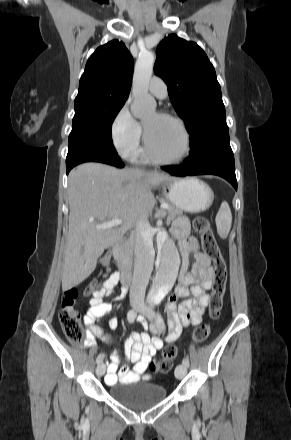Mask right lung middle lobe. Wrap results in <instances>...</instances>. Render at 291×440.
Here are the masks:
<instances>
[{
	"label": "right lung middle lobe",
	"mask_w": 291,
	"mask_h": 440,
	"mask_svg": "<svg viewBox=\"0 0 291 440\" xmlns=\"http://www.w3.org/2000/svg\"><path fill=\"white\" fill-rule=\"evenodd\" d=\"M125 101H88L75 103L69 149L75 146L102 148L116 152L111 126Z\"/></svg>",
	"instance_id": "obj_1"
}]
</instances>
